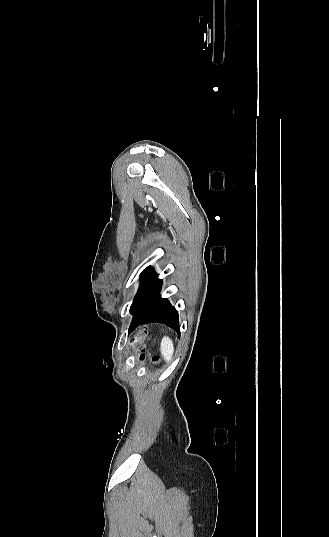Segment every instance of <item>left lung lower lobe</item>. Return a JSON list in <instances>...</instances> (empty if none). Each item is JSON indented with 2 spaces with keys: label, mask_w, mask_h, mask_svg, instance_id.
<instances>
[{
  "label": "left lung lower lobe",
  "mask_w": 329,
  "mask_h": 537,
  "mask_svg": "<svg viewBox=\"0 0 329 537\" xmlns=\"http://www.w3.org/2000/svg\"><path fill=\"white\" fill-rule=\"evenodd\" d=\"M161 288L162 280L157 276L147 287L138 304L130 310L133 318L129 332L149 323H163L180 334L178 312L168 299L161 298Z\"/></svg>",
  "instance_id": "1"
}]
</instances>
